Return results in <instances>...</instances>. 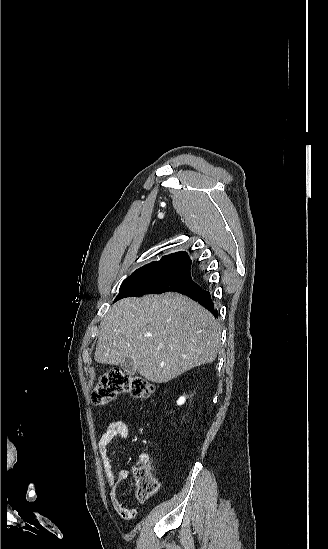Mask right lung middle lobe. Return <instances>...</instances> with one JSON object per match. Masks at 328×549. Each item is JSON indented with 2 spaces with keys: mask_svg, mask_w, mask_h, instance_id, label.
Masks as SVG:
<instances>
[{
  "mask_svg": "<svg viewBox=\"0 0 328 549\" xmlns=\"http://www.w3.org/2000/svg\"><path fill=\"white\" fill-rule=\"evenodd\" d=\"M200 288L191 280L188 273L163 270L135 271L127 277L120 287L116 300L142 296L145 294H161L168 291L187 292Z\"/></svg>",
  "mask_w": 328,
  "mask_h": 549,
  "instance_id": "dd1d6c3e",
  "label": "right lung middle lobe"
}]
</instances>
